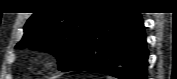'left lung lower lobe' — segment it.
I'll return each instance as SVG.
<instances>
[{
	"label": "left lung lower lobe",
	"instance_id": "left-lung-lower-lobe-1",
	"mask_svg": "<svg viewBox=\"0 0 177 79\" xmlns=\"http://www.w3.org/2000/svg\"><path fill=\"white\" fill-rule=\"evenodd\" d=\"M147 59L140 13L110 10L61 71L85 70L119 79H146Z\"/></svg>",
	"mask_w": 177,
	"mask_h": 79
}]
</instances>
